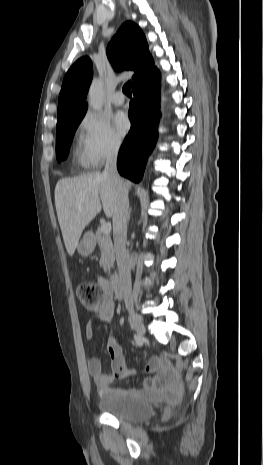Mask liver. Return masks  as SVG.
<instances>
[{
	"label": "liver",
	"instance_id": "liver-1",
	"mask_svg": "<svg viewBox=\"0 0 263 465\" xmlns=\"http://www.w3.org/2000/svg\"><path fill=\"white\" fill-rule=\"evenodd\" d=\"M127 191L130 181H123ZM116 188L108 177L93 172L60 179L55 187V206L64 244L70 256L75 252L84 228L101 211L107 217L114 213Z\"/></svg>",
	"mask_w": 263,
	"mask_h": 465
}]
</instances>
